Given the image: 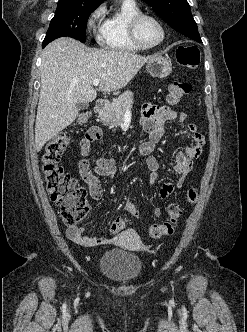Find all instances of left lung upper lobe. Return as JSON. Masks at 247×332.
I'll list each match as a JSON object with an SVG mask.
<instances>
[{
	"label": "left lung upper lobe",
	"mask_w": 247,
	"mask_h": 332,
	"mask_svg": "<svg viewBox=\"0 0 247 332\" xmlns=\"http://www.w3.org/2000/svg\"><path fill=\"white\" fill-rule=\"evenodd\" d=\"M177 32L202 42L187 0H142Z\"/></svg>",
	"instance_id": "left-lung-upper-lobe-1"
}]
</instances>
